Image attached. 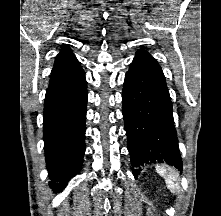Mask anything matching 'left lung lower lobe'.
Instances as JSON below:
<instances>
[{
	"label": "left lung lower lobe",
	"instance_id": "0a47b994",
	"mask_svg": "<svg viewBox=\"0 0 221 216\" xmlns=\"http://www.w3.org/2000/svg\"><path fill=\"white\" fill-rule=\"evenodd\" d=\"M122 103L134 177L141 165L154 162H166L182 171L165 77L158 62L142 48L126 73Z\"/></svg>",
	"mask_w": 221,
	"mask_h": 216
}]
</instances>
